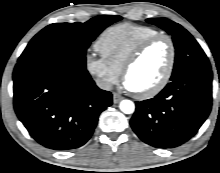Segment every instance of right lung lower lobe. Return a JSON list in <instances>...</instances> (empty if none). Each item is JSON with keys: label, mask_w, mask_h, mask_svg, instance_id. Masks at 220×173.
<instances>
[{"label": "right lung lower lobe", "mask_w": 220, "mask_h": 173, "mask_svg": "<svg viewBox=\"0 0 220 173\" xmlns=\"http://www.w3.org/2000/svg\"><path fill=\"white\" fill-rule=\"evenodd\" d=\"M14 108L29 134L54 150L75 149L92 136L112 94L99 89L85 67L51 57L18 62Z\"/></svg>", "instance_id": "obj_1"}]
</instances>
